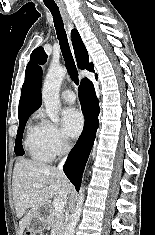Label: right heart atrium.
I'll return each mask as SVG.
<instances>
[{
	"label": "right heart atrium",
	"instance_id": "obj_1",
	"mask_svg": "<svg viewBox=\"0 0 155 235\" xmlns=\"http://www.w3.org/2000/svg\"><path fill=\"white\" fill-rule=\"evenodd\" d=\"M38 126L42 141L53 156L68 149V141L57 125L42 118Z\"/></svg>",
	"mask_w": 155,
	"mask_h": 235
}]
</instances>
